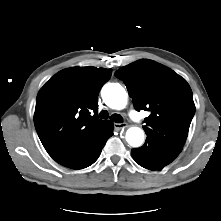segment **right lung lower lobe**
<instances>
[{
    "instance_id": "98d812e1",
    "label": "right lung lower lobe",
    "mask_w": 221,
    "mask_h": 221,
    "mask_svg": "<svg viewBox=\"0 0 221 221\" xmlns=\"http://www.w3.org/2000/svg\"><path fill=\"white\" fill-rule=\"evenodd\" d=\"M113 127V123L107 120L103 128L58 163L72 169H83L92 165L100 156L106 141L113 135Z\"/></svg>"
}]
</instances>
